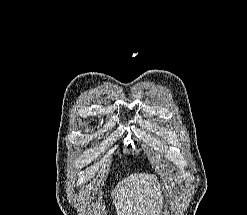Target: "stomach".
I'll return each mask as SVG.
<instances>
[{
	"label": "stomach",
	"mask_w": 247,
	"mask_h": 215,
	"mask_svg": "<svg viewBox=\"0 0 247 215\" xmlns=\"http://www.w3.org/2000/svg\"><path fill=\"white\" fill-rule=\"evenodd\" d=\"M161 211H162V209L159 211V214H157V215H161L160 213H161Z\"/></svg>",
	"instance_id": "0dacf381"
}]
</instances>
